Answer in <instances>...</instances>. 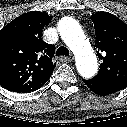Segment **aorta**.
<instances>
[{
  "instance_id": "762f6f07",
  "label": "aorta",
  "mask_w": 127,
  "mask_h": 127,
  "mask_svg": "<svg viewBox=\"0 0 127 127\" xmlns=\"http://www.w3.org/2000/svg\"><path fill=\"white\" fill-rule=\"evenodd\" d=\"M58 30L66 45L75 54L79 74L84 78L93 77L98 69L97 58L78 22L65 17L60 21Z\"/></svg>"
}]
</instances>
